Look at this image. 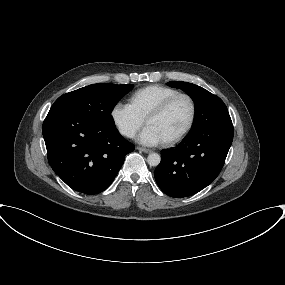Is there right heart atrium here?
Instances as JSON below:
<instances>
[{
	"mask_svg": "<svg viewBox=\"0 0 285 285\" xmlns=\"http://www.w3.org/2000/svg\"><path fill=\"white\" fill-rule=\"evenodd\" d=\"M111 118L119 133L127 138L134 137L145 122L130 103L122 101L112 107Z\"/></svg>",
	"mask_w": 285,
	"mask_h": 285,
	"instance_id": "d8ad5b80",
	"label": "right heart atrium"
}]
</instances>
